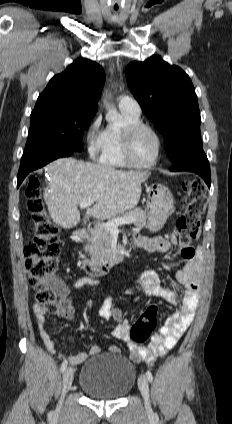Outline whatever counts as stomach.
<instances>
[{
  "label": "stomach",
  "instance_id": "obj_1",
  "mask_svg": "<svg viewBox=\"0 0 232 424\" xmlns=\"http://www.w3.org/2000/svg\"><path fill=\"white\" fill-rule=\"evenodd\" d=\"M148 191V228L156 232L165 224L168 217L175 210L171 191L164 185L154 183Z\"/></svg>",
  "mask_w": 232,
  "mask_h": 424
}]
</instances>
